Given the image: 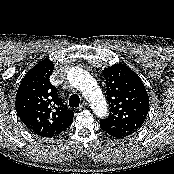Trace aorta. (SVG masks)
I'll list each match as a JSON object with an SVG mask.
<instances>
[{
    "mask_svg": "<svg viewBox=\"0 0 174 174\" xmlns=\"http://www.w3.org/2000/svg\"><path fill=\"white\" fill-rule=\"evenodd\" d=\"M67 79L73 87L84 95L98 117H105L108 114L106 99L89 72L80 67H72L67 73Z\"/></svg>",
    "mask_w": 174,
    "mask_h": 174,
    "instance_id": "1",
    "label": "aorta"
}]
</instances>
